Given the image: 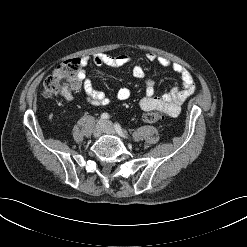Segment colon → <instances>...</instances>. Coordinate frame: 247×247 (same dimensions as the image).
Here are the masks:
<instances>
[{"mask_svg": "<svg viewBox=\"0 0 247 247\" xmlns=\"http://www.w3.org/2000/svg\"><path fill=\"white\" fill-rule=\"evenodd\" d=\"M79 71V59H69L63 62L46 78L43 85L44 95L54 97L69 94L80 84ZM141 119L145 123H156L164 119V113L161 110L148 111L142 114Z\"/></svg>", "mask_w": 247, "mask_h": 247, "instance_id": "colon-1", "label": "colon"}]
</instances>
